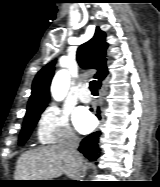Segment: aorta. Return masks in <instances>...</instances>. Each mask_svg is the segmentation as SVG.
Listing matches in <instances>:
<instances>
[{
    "mask_svg": "<svg viewBox=\"0 0 160 187\" xmlns=\"http://www.w3.org/2000/svg\"><path fill=\"white\" fill-rule=\"evenodd\" d=\"M70 86V75L66 70H60L56 73L52 85L51 94L53 98L57 101L62 100L69 89Z\"/></svg>",
    "mask_w": 160,
    "mask_h": 187,
    "instance_id": "obj_1",
    "label": "aorta"
}]
</instances>
